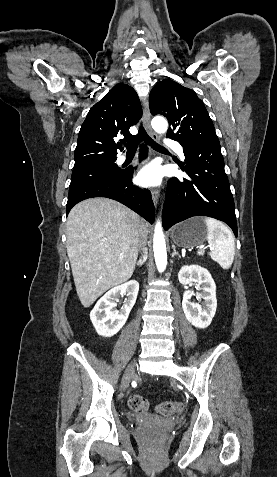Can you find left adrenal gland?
I'll return each mask as SVG.
<instances>
[{
  "label": "left adrenal gland",
  "instance_id": "left-adrenal-gland-1",
  "mask_svg": "<svg viewBox=\"0 0 277 477\" xmlns=\"http://www.w3.org/2000/svg\"><path fill=\"white\" fill-rule=\"evenodd\" d=\"M172 248H173L172 258H174V256H178L179 258H181L180 254L176 251L175 245H172Z\"/></svg>",
  "mask_w": 277,
  "mask_h": 477
}]
</instances>
